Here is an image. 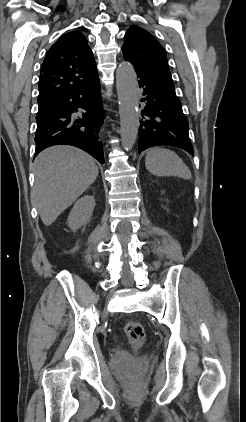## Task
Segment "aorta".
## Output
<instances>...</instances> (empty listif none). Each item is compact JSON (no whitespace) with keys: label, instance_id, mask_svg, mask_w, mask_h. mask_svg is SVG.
<instances>
[{"label":"aorta","instance_id":"aorta-1","mask_svg":"<svg viewBox=\"0 0 246 422\" xmlns=\"http://www.w3.org/2000/svg\"><path fill=\"white\" fill-rule=\"evenodd\" d=\"M116 87L122 145L130 150L135 144L139 128L137 80L130 62L123 61L119 64L116 71Z\"/></svg>","mask_w":246,"mask_h":422}]
</instances>
